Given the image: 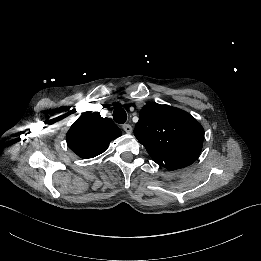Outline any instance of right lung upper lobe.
I'll return each mask as SVG.
<instances>
[{
	"label": "right lung upper lobe",
	"mask_w": 261,
	"mask_h": 261,
	"mask_svg": "<svg viewBox=\"0 0 261 261\" xmlns=\"http://www.w3.org/2000/svg\"><path fill=\"white\" fill-rule=\"evenodd\" d=\"M121 136V130L98 112H85L67 133L68 147L81 158H93L103 153L109 143Z\"/></svg>",
	"instance_id": "1"
}]
</instances>
